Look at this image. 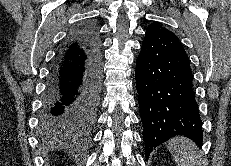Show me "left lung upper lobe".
<instances>
[{
  "mask_svg": "<svg viewBox=\"0 0 231 166\" xmlns=\"http://www.w3.org/2000/svg\"><path fill=\"white\" fill-rule=\"evenodd\" d=\"M149 26L157 27V28L162 29V30L165 31V32L173 33V32H171V31H169L168 29L162 27V25H160L159 23H152V24H150Z\"/></svg>",
  "mask_w": 231,
  "mask_h": 166,
  "instance_id": "left-lung-upper-lobe-1",
  "label": "left lung upper lobe"
}]
</instances>
